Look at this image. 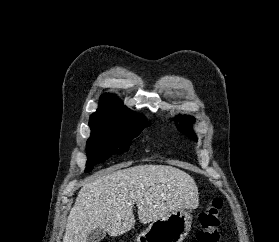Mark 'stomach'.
<instances>
[{"mask_svg": "<svg viewBox=\"0 0 279 242\" xmlns=\"http://www.w3.org/2000/svg\"><path fill=\"white\" fill-rule=\"evenodd\" d=\"M190 211L179 209L153 221L141 232L138 242H182L191 230Z\"/></svg>", "mask_w": 279, "mask_h": 242, "instance_id": "0dacf381", "label": "stomach"}]
</instances>
